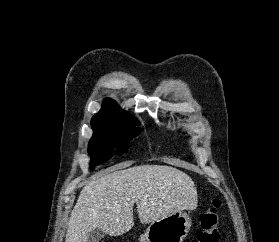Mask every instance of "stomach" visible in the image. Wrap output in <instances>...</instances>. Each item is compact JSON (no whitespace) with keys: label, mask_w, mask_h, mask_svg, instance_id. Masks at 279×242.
I'll use <instances>...</instances> for the list:
<instances>
[{"label":"stomach","mask_w":279,"mask_h":242,"mask_svg":"<svg viewBox=\"0 0 279 242\" xmlns=\"http://www.w3.org/2000/svg\"><path fill=\"white\" fill-rule=\"evenodd\" d=\"M191 228V218L184 211H174L152 222L141 242H183Z\"/></svg>","instance_id":"0dacf381"}]
</instances>
